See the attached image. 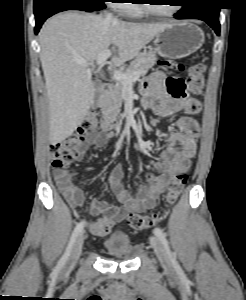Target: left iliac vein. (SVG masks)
Returning a JSON list of instances; mask_svg holds the SVG:
<instances>
[{"instance_id":"obj_1","label":"left iliac vein","mask_w":246,"mask_h":300,"mask_svg":"<svg viewBox=\"0 0 246 300\" xmlns=\"http://www.w3.org/2000/svg\"><path fill=\"white\" fill-rule=\"evenodd\" d=\"M150 243L155 251V254L157 256V258L159 259L160 263L167 268L171 267V262L170 259L168 257V254L164 248V246L162 245V243L159 241V239L155 236H152L150 238Z\"/></svg>"}]
</instances>
